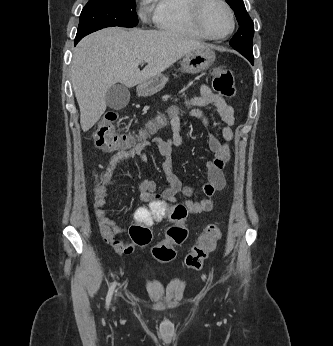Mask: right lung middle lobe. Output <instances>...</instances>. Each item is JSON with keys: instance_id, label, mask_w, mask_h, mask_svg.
Here are the masks:
<instances>
[{"instance_id": "1", "label": "right lung middle lobe", "mask_w": 333, "mask_h": 346, "mask_svg": "<svg viewBox=\"0 0 333 346\" xmlns=\"http://www.w3.org/2000/svg\"><path fill=\"white\" fill-rule=\"evenodd\" d=\"M135 0H89L83 8L75 41L105 27H135Z\"/></svg>"}]
</instances>
